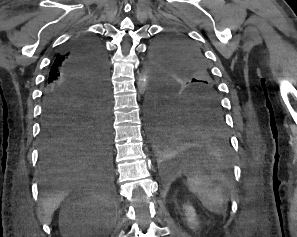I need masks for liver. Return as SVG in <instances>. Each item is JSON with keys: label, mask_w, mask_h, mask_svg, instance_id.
Returning <instances> with one entry per match:
<instances>
[{"label": "liver", "mask_w": 297, "mask_h": 237, "mask_svg": "<svg viewBox=\"0 0 297 237\" xmlns=\"http://www.w3.org/2000/svg\"><path fill=\"white\" fill-rule=\"evenodd\" d=\"M90 179L91 178L83 175L67 176L63 179L64 191L53 194L42 200V209L49 222L51 221L54 211L58 208L65 196L73 189L80 190L90 186Z\"/></svg>", "instance_id": "obj_1"}]
</instances>
